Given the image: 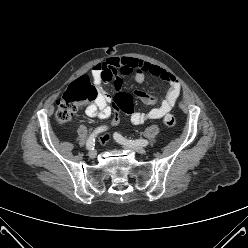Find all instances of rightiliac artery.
<instances>
[{"mask_svg":"<svg viewBox=\"0 0 248 248\" xmlns=\"http://www.w3.org/2000/svg\"><path fill=\"white\" fill-rule=\"evenodd\" d=\"M106 129H107L106 126H101V127H98L96 130H94V132L90 135V137L88 138L87 143H86V148L88 150L94 149L95 138H96L97 134L105 131Z\"/></svg>","mask_w":248,"mask_h":248,"instance_id":"obj_1","label":"right iliac artery"}]
</instances>
